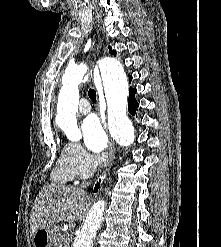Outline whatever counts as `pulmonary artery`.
I'll list each match as a JSON object with an SVG mask.
<instances>
[{
	"label": "pulmonary artery",
	"mask_w": 221,
	"mask_h": 247,
	"mask_svg": "<svg viewBox=\"0 0 221 247\" xmlns=\"http://www.w3.org/2000/svg\"><path fill=\"white\" fill-rule=\"evenodd\" d=\"M91 110L89 101L86 98H82L79 102V112L81 114H88Z\"/></svg>",
	"instance_id": "obj_1"
}]
</instances>
